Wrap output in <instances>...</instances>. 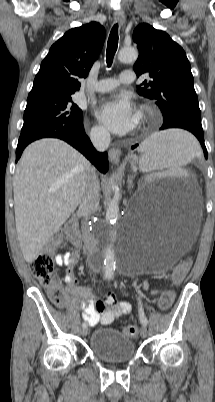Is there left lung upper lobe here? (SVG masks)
Returning <instances> with one entry per match:
<instances>
[{"label": "left lung upper lobe", "instance_id": "left-lung-upper-lobe-1", "mask_svg": "<svg viewBox=\"0 0 215 402\" xmlns=\"http://www.w3.org/2000/svg\"><path fill=\"white\" fill-rule=\"evenodd\" d=\"M139 57L137 76L148 73L151 80L137 86V92L156 101L164 121L180 118L201 124V112L194 89L190 63L181 46L151 25L139 24L133 32Z\"/></svg>", "mask_w": 215, "mask_h": 402}]
</instances>
